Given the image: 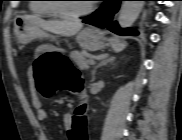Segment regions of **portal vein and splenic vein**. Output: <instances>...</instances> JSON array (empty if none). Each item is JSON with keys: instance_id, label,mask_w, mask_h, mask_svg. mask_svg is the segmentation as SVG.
Returning a JSON list of instances; mask_svg holds the SVG:
<instances>
[{"instance_id": "18ae733b", "label": "portal vein and splenic vein", "mask_w": 182, "mask_h": 140, "mask_svg": "<svg viewBox=\"0 0 182 140\" xmlns=\"http://www.w3.org/2000/svg\"><path fill=\"white\" fill-rule=\"evenodd\" d=\"M88 64H90V65L95 64V60H94V59H89V60H88Z\"/></svg>"}]
</instances>
